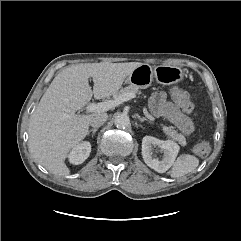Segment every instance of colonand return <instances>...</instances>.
Returning a JSON list of instances; mask_svg holds the SVG:
<instances>
[{
	"label": "colon",
	"instance_id": "obj_1",
	"mask_svg": "<svg viewBox=\"0 0 241 241\" xmlns=\"http://www.w3.org/2000/svg\"><path fill=\"white\" fill-rule=\"evenodd\" d=\"M171 96L174 99L175 103L187 114L189 115H196V107L195 105L191 102L188 94L177 88L174 87L171 90ZM195 152L201 156L205 157L209 154L210 152V145L207 142H201L196 145L195 147Z\"/></svg>",
	"mask_w": 241,
	"mask_h": 241
}]
</instances>
